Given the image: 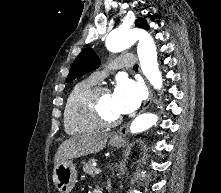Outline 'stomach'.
Listing matches in <instances>:
<instances>
[{"mask_svg": "<svg viewBox=\"0 0 221 193\" xmlns=\"http://www.w3.org/2000/svg\"><path fill=\"white\" fill-rule=\"evenodd\" d=\"M113 147H121L124 144L122 138L110 140ZM53 182L60 193H69L75 185L77 178V170L72 161L58 164L53 170Z\"/></svg>", "mask_w": 221, "mask_h": 193, "instance_id": "stomach-1", "label": "stomach"}]
</instances>
